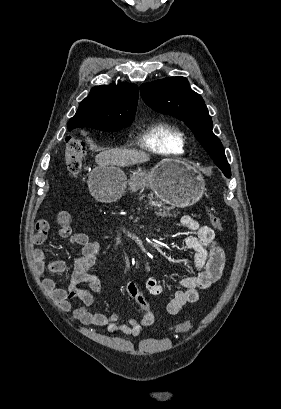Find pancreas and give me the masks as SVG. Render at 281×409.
<instances>
[{"instance_id":"obj_1","label":"pancreas","mask_w":281,"mask_h":409,"mask_svg":"<svg viewBox=\"0 0 281 409\" xmlns=\"http://www.w3.org/2000/svg\"><path fill=\"white\" fill-rule=\"evenodd\" d=\"M144 196H146V194H141L140 196V200H142V198H144ZM147 198H149V200H154V202H158V200H156L155 196H153V194H148ZM171 209H173V207H164L163 205V209H159L162 217H177V215H171L170 211Z\"/></svg>"}]
</instances>
